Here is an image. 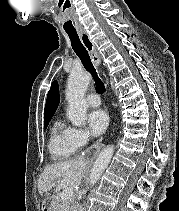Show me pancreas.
I'll list each match as a JSON object with an SVG mask.
<instances>
[{
    "mask_svg": "<svg viewBox=\"0 0 179 211\" xmlns=\"http://www.w3.org/2000/svg\"><path fill=\"white\" fill-rule=\"evenodd\" d=\"M54 205L57 207V211H78V202L73 197L62 199L61 193L54 199L52 206Z\"/></svg>",
    "mask_w": 179,
    "mask_h": 211,
    "instance_id": "cf45deb5",
    "label": "pancreas"
}]
</instances>
